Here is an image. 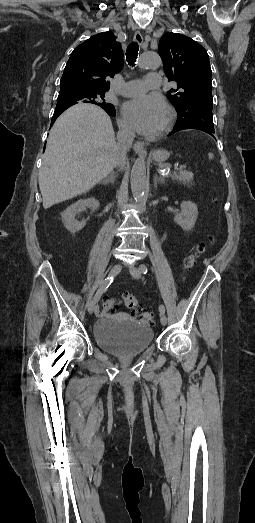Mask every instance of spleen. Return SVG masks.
Returning a JSON list of instances; mask_svg holds the SVG:
<instances>
[{"instance_id": "1", "label": "spleen", "mask_w": 255, "mask_h": 523, "mask_svg": "<svg viewBox=\"0 0 255 523\" xmlns=\"http://www.w3.org/2000/svg\"><path fill=\"white\" fill-rule=\"evenodd\" d=\"M208 158H209V160H213V158H214L213 154H208ZM159 166H160V168H165V166H169V164H161V162H160Z\"/></svg>"}]
</instances>
